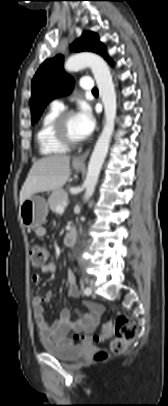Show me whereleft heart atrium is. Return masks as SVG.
Wrapping results in <instances>:
<instances>
[{"mask_svg": "<svg viewBox=\"0 0 168 406\" xmlns=\"http://www.w3.org/2000/svg\"><path fill=\"white\" fill-rule=\"evenodd\" d=\"M75 119L82 138L90 136L95 128V119L89 107L86 105L80 106L75 113Z\"/></svg>", "mask_w": 168, "mask_h": 406, "instance_id": "left-heart-atrium-1", "label": "left heart atrium"}]
</instances>
